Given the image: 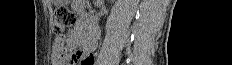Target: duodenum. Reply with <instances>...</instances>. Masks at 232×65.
<instances>
[{
	"instance_id": "duodenum-1",
	"label": "duodenum",
	"mask_w": 232,
	"mask_h": 65,
	"mask_svg": "<svg viewBox=\"0 0 232 65\" xmlns=\"http://www.w3.org/2000/svg\"><path fill=\"white\" fill-rule=\"evenodd\" d=\"M76 9L80 15L81 25L90 39H97L99 27L93 12L85 5L83 1H76Z\"/></svg>"
}]
</instances>
